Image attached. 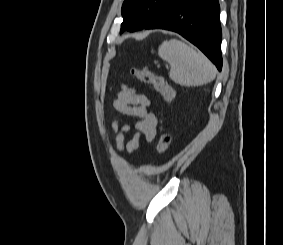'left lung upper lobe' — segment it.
I'll return each mask as SVG.
<instances>
[{
	"mask_svg": "<svg viewBox=\"0 0 283 245\" xmlns=\"http://www.w3.org/2000/svg\"><path fill=\"white\" fill-rule=\"evenodd\" d=\"M173 0H125L122 5L124 30L136 31L148 26L155 20Z\"/></svg>",
	"mask_w": 283,
	"mask_h": 245,
	"instance_id": "obj_1",
	"label": "left lung upper lobe"
}]
</instances>
